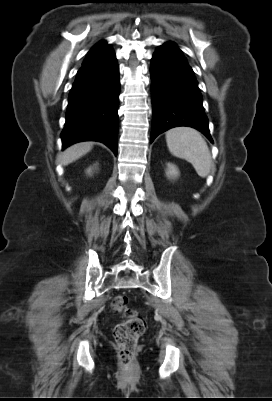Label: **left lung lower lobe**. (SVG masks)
Returning a JSON list of instances; mask_svg holds the SVG:
<instances>
[{"instance_id":"0a47b994","label":"left lung lower lobe","mask_w":272,"mask_h":401,"mask_svg":"<svg viewBox=\"0 0 272 401\" xmlns=\"http://www.w3.org/2000/svg\"><path fill=\"white\" fill-rule=\"evenodd\" d=\"M152 142L162 132L188 126L212 143L202 96L191 67L173 42L158 47L151 61Z\"/></svg>"}]
</instances>
